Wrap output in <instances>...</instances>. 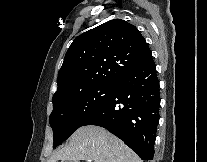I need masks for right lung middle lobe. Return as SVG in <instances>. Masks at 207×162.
<instances>
[{
	"mask_svg": "<svg viewBox=\"0 0 207 162\" xmlns=\"http://www.w3.org/2000/svg\"><path fill=\"white\" fill-rule=\"evenodd\" d=\"M114 92V84L98 85L64 94L53 99L49 122L53 129V147L70 137L75 130L100 107Z\"/></svg>",
	"mask_w": 207,
	"mask_h": 162,
	"instance_id": "dd1d6c3e",
	"label": "right lung middle lobe"
}]
</instances>
